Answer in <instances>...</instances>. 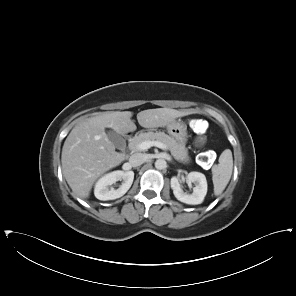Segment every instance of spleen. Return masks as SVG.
Wrapping results in <instances>:
<instances>
[{
    "mask_svg": "<svg viewBox=\"0 0 296 296\" xmlns=\"http://www.w3.org/2000/svg\"><path fill=\"white\" fill-rule=\"evenodd\" d=\"M233 170V157L230 149H226L219 157V164L213 168L214 194L220 195L230 181Z\"/></svg>",
    "mask_w": 296,
    "mask_h": 296,
    "instance_id": "1",
    "label": "spleen"
}]
</instances>
